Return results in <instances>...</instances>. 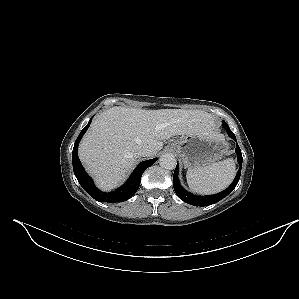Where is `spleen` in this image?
<instances>
[{
    "instance_id": "spleen-1",
    "label": "spleen",
    "mask_w": 299,
    "mask_h": 299,
    "mask_svg": "<svg viewBox=\"0 0 299 299\" xmlns=\"http://www.w3.org/2000/svg\"><path fill=\"white\" fill-rule=\"evenodd\" d=\"M235 163L232 158L208 166L188 169L189 188L199 194H214L225 189L234 179Z\"/></svg>"
}]
</instances>
